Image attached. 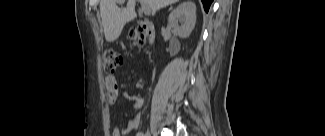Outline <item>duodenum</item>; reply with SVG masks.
Wrapping results in <instances>:
<instances>
[{
  "label": "duodenum",
  "instance_id": "410a0bca",
  "mask_svg": "<svg viewBox=\"0 0 325 136\" xmlns=\"http://www.w3.org/2000/svg\"><path fill=\"white\" fill-rule=\"evenodd\" d=\"M140 25H141V28H143V29H145L147 31H150V32H152L153 29H154L153 24H151L149 22L143 21V22L140 23Z\"/></svg>",
  "mask_w": 325,
  "mask_h": 136
}]
</instances>
